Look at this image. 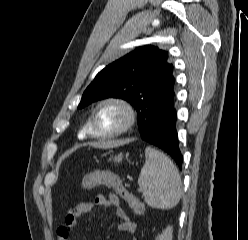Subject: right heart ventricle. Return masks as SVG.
Listing matches in <instances>:
<instances>
[{"label":"right heart ventricle","mask_w":248,"mask_h":240,"mask_svg":"<svg viewBox=\"0 0 248 240\" xmlns=\"http://www.w3.org/2000/svg\"><path fill=\"white\" fill-rule=\"evenodd\" d=\"M89 119H87L86 123L84 124V126L82 127V129L78 134L80 138H85L89 135Z\"/></svg>","instance_id":"obj_1"}]
</instances>
